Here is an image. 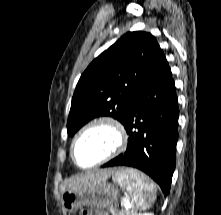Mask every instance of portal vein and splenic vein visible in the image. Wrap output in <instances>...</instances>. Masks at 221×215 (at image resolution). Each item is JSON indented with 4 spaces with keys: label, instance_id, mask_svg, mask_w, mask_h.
I'll return each instance as SVG.
<instances>
[{
    "label": "portal vein and splenic vein",
    "instance_id": "portal-vein-and-splenic-vein-1",
    "mask_svg": "<svg viewBox=\"0 0 221 215\" xmlns=\"http://www.w3.org/2000/svg\"><path fill=\"white\" fill-rule=\"evenodd\" d=\"M128 204V201L122 200L121 201V206H126Z\"/></svg>",
    "mask_w": 221,
    "mask_h": 215
}]
</instances>
